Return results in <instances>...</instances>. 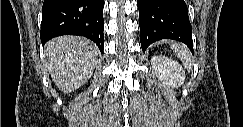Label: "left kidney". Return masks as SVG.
Here are the masks:
<instances>
[{
	"instance_id": "1",
	"label": "left kidney",
	"mask_w": 243,
	"mask_h": 127,
	"mask_svg": "<svg viewBox=\"0 0 243 127\" xmlns=\"http://www.w3.org/2000/svg\"><path fill=\"white\" fill-rule=\"evenodd\" d=\"M151 65L159 80L172 88H178L184 83L185 72L182 66L165 56H153Z\"/></svg>"
}]
</instances>
